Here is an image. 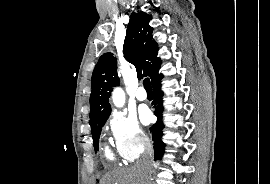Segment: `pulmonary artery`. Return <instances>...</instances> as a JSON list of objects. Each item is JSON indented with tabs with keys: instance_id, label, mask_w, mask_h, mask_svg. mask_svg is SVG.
Here are the masks:
<instances>
[{
	"instance_id": "obj_1",
	"label": "pulmonary artery",
	"mask_w": 270,
	"mask_h": 184,
	"mask_svg": "<svg viewBox=\"0 0 270 184\" xmlns=\"http://www.w3.org/2000/svg\"><path fill=\"white\" fill-rule=\"evenodd\" d=\"M136 98L138 100H140V101L146 100L147 94H146L145 90L142 87H140V88L137 89V91H136Z\"/></svg>"
}]
</instances>
